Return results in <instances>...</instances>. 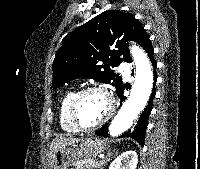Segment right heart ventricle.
<instances>
[{"instance_id":"e07e8e85","label":"right heart ventricle","mask_w":200,"mask_h":169,"mask_svg":"<svg viewBox=\"0 0 200 169\" xmlns=\"http://www.w3.org/2000/svg\"><path fill=\"white\" fill-rule=\"evenodd\" d=\"M76 93L77 91L75 89H69L65 91L60 98L59 122L61 128L68 133L78 132V130L72 124L69 116V105Z\"/></svg>"}]
</instances>
